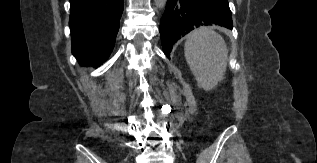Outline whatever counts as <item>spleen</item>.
<instances>
[{
    "label": "spleen",
    "mask_w": 317,
    "mask_h": 163,
    "mask_svg": "<svg viewBox=\"0 0 317 163\" xmlns=\"http://www.w3.org/2000/svg\"><path fill=\"white\" fill-rule=\"evenodd\" d=\"M184 50L198 86L212 90L227 68L228 49L224 39L211 28L202 27L187 35Z\"/></svg>",
    "instance_id": "spleen-1"
}]
</instances>
